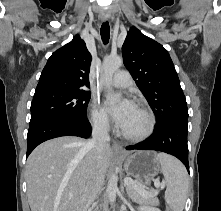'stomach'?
Wrapping results in <instances>:
<instances>
[{"label": "stomach", "instance_id": "obj_1", "mask_svg": "<svg viewBox=\"0 0 221 211\" xmlns=\"http://www.w3.org/2000/svg\"><path fill=\"white\" fill-rule=\"evenodd\" d=\"M121 159L126 173L144 184H148L161 168L157 154L152 151H138Z\"/></svg>", "mask_w": 221, "mask_h": 211}]
</instances>
